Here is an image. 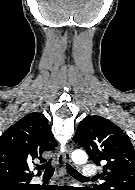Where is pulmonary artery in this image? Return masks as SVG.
I'll return each instance as SVG.
<instances>
[{
    "instance_id": "obj_1",
    "label": "pulmonary artery",
    "mask_w": 135,
    "mask_h": 190,
    "mask_svg": "<svg viewBox=\"0 0 135 190\" xmlns=\"http://www.w3.org/2000/svg\"><path fill=\"white\" fill-rule=\"evenodd\" d=\"M97 170H96V166L93 164H85L82 167V171L81 174L82 176H84L85 178H92L96 175Z\"/></svg>"
}]
</instances>
